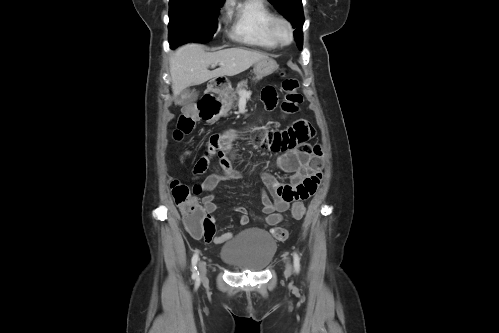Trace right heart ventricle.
<instances>
[{
	"label": "right heart ventricle",
	"instance_id": "obj_1",
	"mask_svg": "<svg viewBox=\"0 0 499 333\" xmlns=\"http://www.w3.org/2000/svg\"><path fill=\"white\" fill-rule=\"evenodd\" d=\"M275 13L265 0H241L228 7V21L234 40L247 46L273 49L278 43L270 33Z\"/></svg>",
	"mask_w": 499,
	"mask_h": 333
}]
</instances>
